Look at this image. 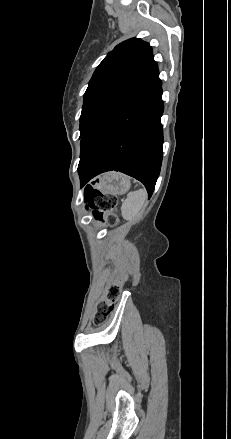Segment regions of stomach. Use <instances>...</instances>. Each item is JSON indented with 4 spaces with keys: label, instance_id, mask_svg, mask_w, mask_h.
<instances>
[{
    "label": "stomach",
    "instance_id": "obj_1",
    "mask_svg": "<svg viewBox=\"0 0 231 439\" xmlns=\"http://www.w3.org/2000/svg\"><path fill=\"white\" fill-rule=\"evenodd\" d=\"M97 185L103 193L121 195L129 190L130 180L121 173L110 172L100 176Z\"/></svg>",
    "mask_w": 231,
    "mask_h": 439
}]
</instances>
